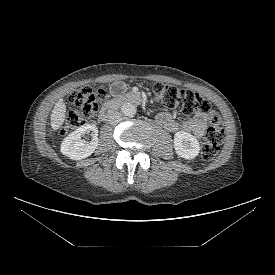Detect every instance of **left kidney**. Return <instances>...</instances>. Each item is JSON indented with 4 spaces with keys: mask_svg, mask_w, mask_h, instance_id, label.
I'll return each mask as SVG.
<instances>
[{
    "mask_svg": "<svg viewBox=\"0 0 275 275\" xmlns=\"http://www.w3.org/2000/svg\"><path fill=\"white\" fill-rule=\"evenodd\" d=\"M174 148L176 153L184 159H193L200 151V145L196 137L185 131L175 133Z\"/></svg>",
    "mask_w": 275,
    "mask_h": 275,
    "instance_id": "left-kidney-1",
    "label": "left kidney"
}]
</instances>
